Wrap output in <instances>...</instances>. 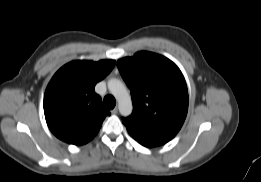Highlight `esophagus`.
Listing matches in <instances>:
<instances>
[{"instance_id":"obj_1","label":"esophagus","mask_w":261,"mask_h":182,"mask_svg":"<svg viewBox=\"0 0 261 182\" xmlns=\"http://www.w3.org/2000/svg\"><path fill=\"white\" fill-rule=\"evenodd\" d=\"M111 113H112L113 115L117 114V113H118L117 107H115L114 109H112V110H111Z\"/></svg>"}]
</instances>
